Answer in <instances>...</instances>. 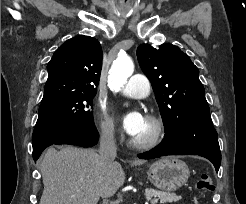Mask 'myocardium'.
<instances>
[{"label": "myocardium", "mask_w": 246, "mask_h": 204, "mask_svg": "<svg viewBox=\"0 0 246 204\" xmlns=\"http://www.w3.org/2000/svg\"><path fill=\"white\" fill-rule=\"evenodd\" d=\"M146 120H148L153 126V132L151 136L146 140H137L131 138L129 144L139 150H149L158 146L165 134V125L163 120L154 114L146 115Z\"/></svg>", "instance_id": "1"}]
</instances>
